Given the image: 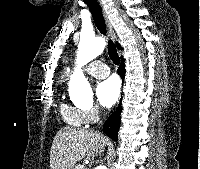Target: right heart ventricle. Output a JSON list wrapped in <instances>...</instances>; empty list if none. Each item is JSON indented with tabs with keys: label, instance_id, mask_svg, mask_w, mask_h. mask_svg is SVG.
Listing matches in <instances>:
<instances>
[{
	"label": "right heart ventricle",
	"instance_id": "e07e8e85",
	"mask_svg": "<svg viewBox=\"0 0 200 169\" xmlns=\"http://www.w3.org/2000/svg\"><path fill=\"white\" fill-rule=\"evenodd\" d=\"M61 115L66 123L75 127L84 126V118L81 109L62 104L60 106Z\"/></svg>",
	"mask_w": 200,
	"mask_h": 169
}]
</instances>
